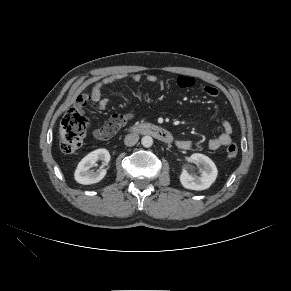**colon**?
<instances>
[{
	"instance_id": "5ec220e1",
	"label": "colon",
	"mask_w": 291,
	"mask_h": 291,
	"mask_svg": "<svg viewBox=\"0 0 291 291\" xmlns=\"http://www.w3.org/2000/svg\"><path fill=\"white\" fill-rule=\"evenodd\" d=\"M90 101L89 96H80L77 105L68 110L63 117L59 129L60 148L65 153L77 151L83 144L89 122L82 112V107ZM122 126V119L113 117L106 124L108 132L113 135ZM226 155L234 159L238 155L236 144L230 143L226 147Z\"/></svg>"
}]
</instances>
